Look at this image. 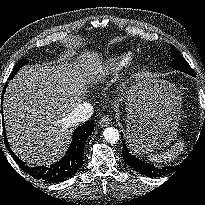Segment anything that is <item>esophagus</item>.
Here are the masks:
<instances>
[{
    "label": "esophagus",
    "instance_id": "1",
    "mask_svg": "<svg viewBox=\"0 0 205 205\" xmlns=\"http://www.w3.org/2000/svg\"><path fill=\"white\" fill-rule=\"evenodd\" d=\"M99 124H100L101 126H108V125L110 124V119H109V117H107V116L102 117V118L99 120Z\"/></svg>",
    "mask_w": 205,
    "mask_h": 205
}]
</instances>
